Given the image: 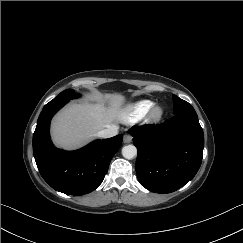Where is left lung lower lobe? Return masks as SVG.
<instances>
[{
    "mask_svg": "<svg viewBox=\"0 0 243 243\" xmlns=\"http://www.w3.org/2000/svg\"><path fill=\"white\" fill-rule=\"evenodd\" d=\"M131 133L138 149L136 173L146 189L174 192L197 173L204 148L198 118L174 115L159 125L132 127Z\"/></svg>",
    "mask_w": 243,
    "mask_h": 243,
    "instance_id": "left-lung-lower-lobe-1",
    "label": "left lung lower lobe"
}]
</instances>
